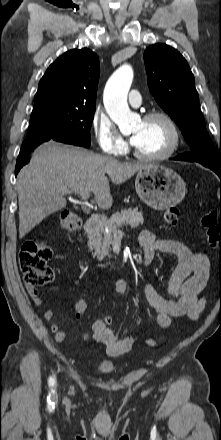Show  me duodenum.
I'll list each match as a JSON object with an SVG mask.
<instances>
[{
  "mask_svg": "<svg viewBox=\"0 0 221 440\" xmlns=\"http://www.w3.org/2000/svg\"><path fill=\"white\" fill-rule=\"evenodd\" d=\"M101 219L102 218L99 215H95V214L91 215L87 219L85 226H84L85 234H89V233L93 232L97 228L99 223L101 222Z\"/></svg>",
  "mask_w": 221,
  "mask_h": 440,
  "instance_id": "duodenum-1",
  "label": "duodenum"
}]
</instances>
